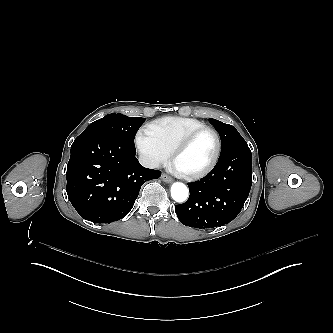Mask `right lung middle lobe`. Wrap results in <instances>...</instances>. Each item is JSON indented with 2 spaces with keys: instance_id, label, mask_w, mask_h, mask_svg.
I'll list each match as a JSON object with an SVG mask.
<instances>
[{
  "instance_id": "1",
  "label": "right lung middle lobe",
  "mask_w": 333,
  "mask_h": 333,
  "mask_svg": "<svg viewBox=\"0 0 333 333\" xmlns=\"http://www.w3.org/2000/svg\"><path fill=\"white\" fill-rule=\"evenodd\" d=\"M144 121L145 118L112 113L91 123L81 136L102 133L135 147V135Z\"/></svg>"
}]
</instances>
